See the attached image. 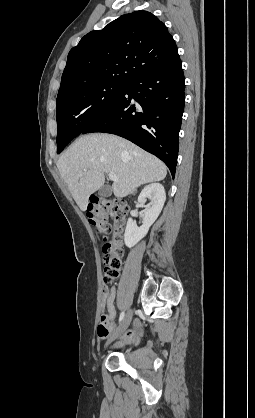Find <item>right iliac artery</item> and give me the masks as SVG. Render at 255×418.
I'll list each match as a JSON object with an SVG mask.
<instances>
[{
  "instance_id": "obj_1",
  "label": "right iliac artery",
  "mask_w": 255,
  "mask_h": 418,
  "mask_svg": "<svg viewBox=\"0 0 255 418\" xmlns=\"http://www.w3.org/2000/svg\"><path fill=\"white\" fill-rule=\"evenodd\" d=\"M125 316V312H121L120 317H119V322H121L124 319Z\"/></svg>"
}]
</instances>
